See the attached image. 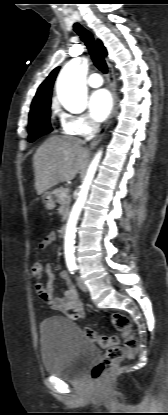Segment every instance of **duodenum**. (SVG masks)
Segmentation results:
<instances>
[{"mask_svg":"<svg viewBox=\"0 0 168 415\" xmlns=\"http://www.w3.org/2000/svg\"><path fill=\"white\" fill-rule=\"evenodd\" d=\"M60 235L61 236H64L65 234H66V232H67V225L66 224H63L62 226H61V228H60Z\"/></svg>","mask_w":168,"mask_h":415,"instance_id":"410a0bca","label":"duodenum"}]
</instances>
